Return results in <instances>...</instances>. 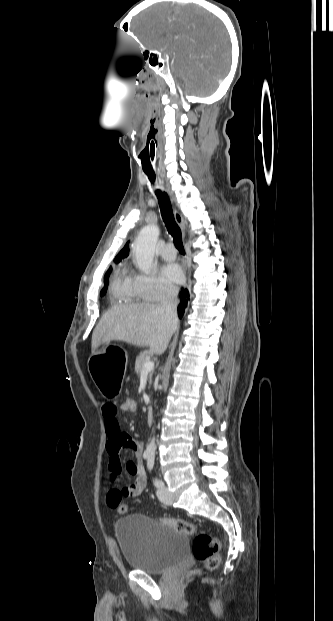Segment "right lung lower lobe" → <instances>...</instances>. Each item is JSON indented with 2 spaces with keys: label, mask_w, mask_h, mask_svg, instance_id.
I'll list each match as a JSON object with an SVG mask.
<instances>
[{
  "label": "right lung lower lobe",
  "mask_w": 333,
  "mask_h": 621,
  "mask_svg": "<svg viewBox=\"0 0 333 621\" xmlns=\"http://www.w3.org/2000/svg\"><path fill=\"white\" fill-rule=\"evenodd\" d=\"M179 298H180V304L178 305V314H179V317L181 318L187 306V300L189 299V291L187 289L182 288Z\"/></svg>",
  "instance_id": "98d812e1"
}]
</instances>
